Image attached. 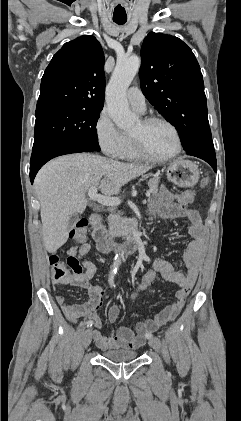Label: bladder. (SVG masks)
I'll return each instance as SVG.
<instances>
[{
  "label": "bladder",
  "mask_w": 241,
  "mask_h": 421,
  "mask_svg": "<svg viewBox=\"0 0 241 421\" xmlns=\"http://www.w3.org/2000/svg\"><path fill=\"white\" fill-rule=\"evenodd\" d=\"M102 356L110 361L126 362L136 359L138 354L137 352L130 350H108L102 352Z\"/></svg>",
  "instance_id": "obj_1"
}]
</instances>
